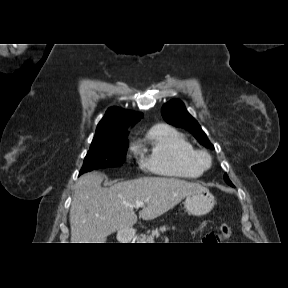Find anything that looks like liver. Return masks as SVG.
<instances>
[{"instance_id":"6515ba94","label":"liver","mask_w":288,"mask_h":288,"mask_svg":"<svg viewBox=\"0 0 288 288\" xmlns=\"http://www.w3.org/2000/svg\"><path fill=\"white\" fill-rule=\"evenodd\" d=\"M104 175L86 173L78 179L70 208L71 243H105L114 232L132 231L136 202L143 220H153L188 195L204 188L177 178L145 177L101 187Z\"/></svg>"}]
</instances>
